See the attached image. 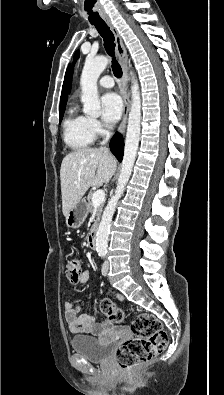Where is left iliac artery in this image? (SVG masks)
Masks as SVG:
<instances>
[{"instance_id": "44dca946", "label": "left iliac artery", "mask_w": 224, "mask_h": 395, "mask_svg": "<svg viewBox=\"0 0 224 395\" xmlns=\"http://www.w3.org/2000/svg\"><path fill=\"white\" fill-rule=\"evenodd\" d=\"M105 254H106V252H104V251L99 253V255H101V256H105Z\"/></svg>"}]
</instances>
